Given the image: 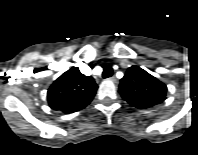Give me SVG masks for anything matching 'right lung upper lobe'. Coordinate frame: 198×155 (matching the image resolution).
I'll list each match as a JSON object with an SVG mask.
<instances>
[{"instance_id":"1","label":"right lung upper lobe","mask_w":198,"mask_h":155,"mask_svg":"<svg viewBox=\"0 0 198 155\" xmlns=\"http://www.w3.org/2000/svg\"><path fill=\"white\" fill-rule=\"evenodd\" d=\"M98 86L91 76L83 75L78 68L63 73L48 90L47 99L52 109L72 113L86 107L93 99Z\"/></svg>"}]
</instances>
